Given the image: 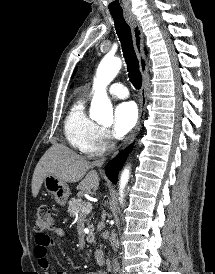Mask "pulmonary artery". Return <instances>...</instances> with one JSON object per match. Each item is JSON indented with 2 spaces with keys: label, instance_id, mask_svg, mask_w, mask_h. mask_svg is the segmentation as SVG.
Here are the masks:
<instances>
[{
  "label": "pulmonary artery",
  "instance_id": "e3ab8cb5",
  "mask_svg": "<svg viewBox=\"0 0 215 274\" xmlns=\"http://www.w3.org/2000/svg\"><path fill=\"white\" fill-rule=\"evenodd\" d=\"M108 91L112 96L118 98H127L129 95L127 88L121 83H113Z\"/></svg>",
  "mask_w": 215,
  "mask_h": 274
}]
</instances>
